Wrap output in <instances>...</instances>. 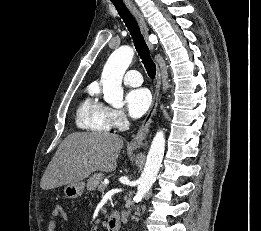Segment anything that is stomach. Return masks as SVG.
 Masks as SVG:
<instances>
[{
  "mask_svg": "<svg viewBox=\"0 0 261 231\" xmlns=\"http://www.w3.org/2000/svg\"><path fill=\"white\" fill-rule=\"evenodd\" d=\"M85 183L80 181L75 184H67L64 188V194L66 198L74 199L83 194Z\"/></svg>",
  "mask_w": 261,
  "mask_h": 231,
  "instance_id": "0dacf381",
  "label": "stomach"
}]
</instances>
